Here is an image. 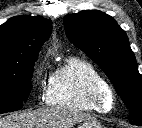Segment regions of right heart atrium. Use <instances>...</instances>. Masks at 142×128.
<instances>
[{"label":"right heart atrium","instance_id":"obj_1","mask_svg":"<svg viewBox=\"0 0 142 128\" xmlns=\"http://www.w3.org/2000/svg\"><path fill=\"white\" fill-rule=\"evenodd\" d=\"M37 85L39 87L40 93L47 95L51 76L47 72L46 63L43 62L36 72Z\"/></svg>","mask_w":142,"mask_h":128}]
</instances>
